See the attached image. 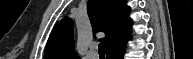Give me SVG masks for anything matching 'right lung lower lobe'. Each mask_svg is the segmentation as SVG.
Returning a JSON list of instances; mask_svg holds the SVG:
<instances>
[{
	"label": "right lung lower lobe",
	"mask_w": 193,
	"mask_h": 59,
	"mask_svg": "<svg viewBox=\"0 0 193 59\" xmlns=\"http://www.w3.org/2000/svg\"><path fill=\"white\" fill-rule=\"evenodd\" d=\"M128 39L129 37L119 42L117 45L109 48L106 51V59H123V55L125 53L126 48V42Z\"/></svg>",
	"instance_id": "1"
}]
</instances>
